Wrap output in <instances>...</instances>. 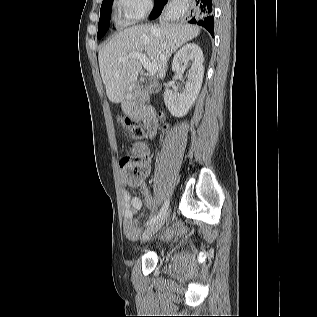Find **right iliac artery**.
<instances>
[{"mask_svg": "<svg viewBox=\"0 0 317 317\" xmlns=\"http://www.w3.org/2000/svg\"><path fill=\"white\" fill-rule=\"evenodd\" d=\"M168 207H169V201L166 200L164 202L160 212L156 216H154L151 220L147 221L146 226H148V225H150L152 223H155L156 221L161 219L166 214V211H167Z\"/></svg>", "mask_w": 317, "mask_h": 317, "instance_id": "right-iliac-artery-1", "label": "right iliac artery"}]
</instances>
